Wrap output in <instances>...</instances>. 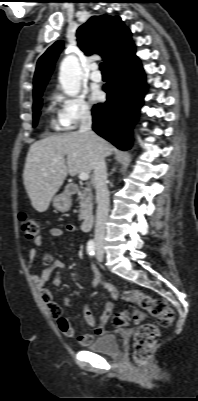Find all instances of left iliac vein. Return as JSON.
Wrapping results in <instances>:
<instances>
[{
	"label": "left iliac vein",
	"mask_w": 198,
	"mask_h": 401,
	"mask_svg": "<svg viewBox=\"0 0 198 401\" xmlns=\"http://www.w3.org/2000/svg\"><path fill=\"white\" fill-rule=\"evenodd\" d=\"M96 259L98 262H102L103 261V251L101 250L100 247H98V250L96 252Z\"/></svg>",
	"instance_id": "obj_1"
}]
</instances>
